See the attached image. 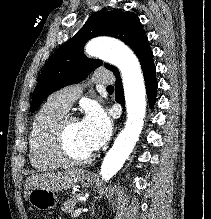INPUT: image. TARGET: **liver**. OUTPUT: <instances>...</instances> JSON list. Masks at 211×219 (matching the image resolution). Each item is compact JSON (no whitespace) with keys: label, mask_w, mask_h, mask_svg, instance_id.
<instances>
[{"label":"liver","mask_w":211,"mask_h":219,"mask_svg":"<svg viewBox=\"0 0 211 219\" xmlns=\"http://www.w3.org/2000/svg\"><path fill=\"white\" fill-rule=\"evenodd\" d=\"M83 176V170L32 174L26 179V190L41 188L50 191H63L72 188ZM29 192H26V197Z\"/></svg>","instance_id":"obj_1"}]
</instances>
